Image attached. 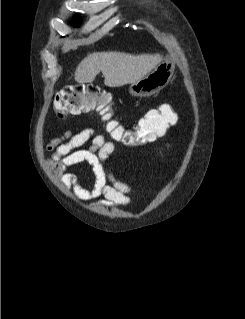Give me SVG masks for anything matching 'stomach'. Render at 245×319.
I'll return each mask as SVG.
<instances>
[{
  "label": "stomach",
  "mask_w": 245,
  "mask_h": 319,
  "mask_svg": "<svg viewBox=\"0 0 245 319\" xmlns=\"http://www.w3.org/2000/svg\"><path fill=\"white\" fill-rule=\"evenodd\" d=\"M173 73V62L169 58H163L143 78L131 83L129 93L134 97H149L163 89L170 82Z\"/></svg>",
  "instance_id": "obj_1"
}]
</instances>
